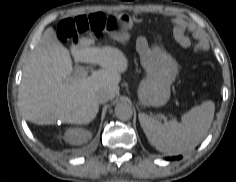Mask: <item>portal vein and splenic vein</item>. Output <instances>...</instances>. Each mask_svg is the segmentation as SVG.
Listing matches in <instances>:
<instances>
[{
    "label": "portal vein and splenic vein",
    "mask_w": 236,
    "mask_h": 182,
    "mask_svg": "<svg viewBox=\"0 0 236 182\" xmlns=\"http://www.w3.org/2000/svg\"><path fill=\"white\" fill-rule=\"evenodd\" d=\"M89 73L88 69H78L77 76L86 77Z\"/></svg>",
    "instance_id": "1"
}]
</instances>
